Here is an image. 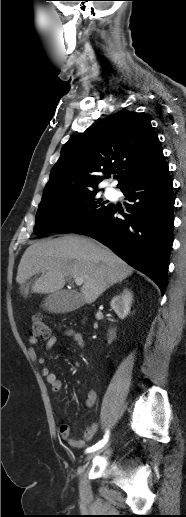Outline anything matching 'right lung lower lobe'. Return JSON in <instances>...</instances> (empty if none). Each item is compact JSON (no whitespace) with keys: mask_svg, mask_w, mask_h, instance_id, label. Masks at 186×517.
Returning a JSON list of instances; mask_svg holds the SVG:
<instances>
[{"mask_svg":"<svg viewBox=\"0 0 186 517\" xmlns=\"http://www.w3.org/2000/svg\"><path fill=\"white\" fill-rule=\"evenodd\" d=\"M121 191L129 203L123 219L116 208L100 214L72 233L92 237L112 249L129 265L152 278L164 294L173 244V183L168 165L140 178Z\"/></svg>","mask_w":186,"mask_h":517,"instance_id":"1","label":"right lung lower lobe"}]
</instances>
